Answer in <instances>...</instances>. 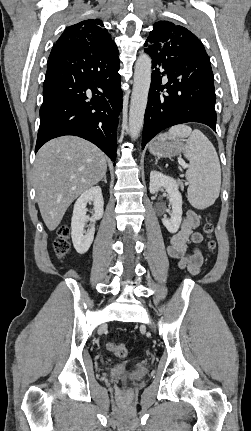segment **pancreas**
I'll return each mask as SVG.
<instances>
[{"label":"pancreas","mask_w":251,"mask_h":431,"mask_svg":"<svg viewBox=\"0 0 251 431\" xmlns=\"http://www.w3.org/2000/svg\"><path fill=\"white\" fill-rule=\"evenodd\" d=\"M179 184H180L181 188L183 189V184L181 182H179Z\"/></svg>","instance_id":"cf45deb5"}]
</instances>
